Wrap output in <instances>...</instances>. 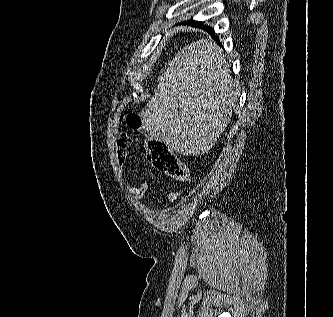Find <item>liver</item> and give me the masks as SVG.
I'll use <instances>...</instances> for the list:
<instances>
[{
	"mask_svg": "<svg viewBox=\"0 0 333 317\" xmlns=\"http://www.w3.org/2000/svg\"><path fill=\"white\" fill-rule=\"evenodd\" d=\"M238 96L222 49L199 39L170 61L140 116L170 151L199 156L227 127Z\"/></svg>",
	"mask_w": 333,
	"mask_h": 317,
	"instance_id": "obj_1",
	"label": "liver"
}]
</instances>
